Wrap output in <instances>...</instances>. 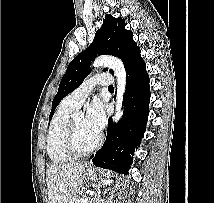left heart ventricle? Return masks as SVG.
I'll return each instance as SVG.
<instances>
[{"instance_id":"1","label":"left heart ventricle","mask_w":214,"mask_h":203,"mask_svg":"<svg viewBox=\"0 0 214 203\" xmlns=\"http://www.w3.org/2000/svg\"><path fill=\"white\" fill-rule=\"evenodd\" d=\"M76 140L81 149L90 148L96 141L99 133L93 131L86 123V118L81 115L75 118Z\"/></svg>"}]
</instances>
